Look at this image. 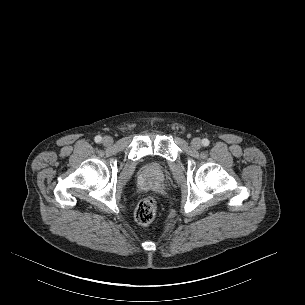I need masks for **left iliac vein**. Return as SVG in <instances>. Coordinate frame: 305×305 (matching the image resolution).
Masks as SVG:
<instances>
[{"mask_svg":"<svg viewBox=\"0 0 305 305\" xmlns=\"http://www.w3.org/2000/svg\"><path fill=\"white\" fill-rule=\"evenodd\" d=\"M191 146L193 149H200L202 146V142L200 138H193L191 141Z\"/></svg>","mask_w":305,"mask_h":305,"instance_id":"obj_1","label":"left iliac vein"}]
</instances>
